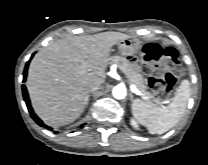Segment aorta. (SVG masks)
I'll return each mask as SVG.
<instances>
[{"label": "aorta", "mask_w": 208, "mask_h": 165, "mask_svg": "<svg viewBox=\"0 0 208 165\" xmlns=\"http://www.w3.org/2000/svg\"><path fill=\"white\" fill-rule=\"evenodd\" d=\"M112 94L116 99H124L126 97V88L124 85H117L113 88Z\"/></svg>", "instance_id": "obj_1"}]
</instances>
